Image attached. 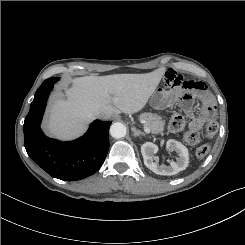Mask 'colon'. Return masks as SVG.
<instances>
[{"label":"colon","mask_w":245,"mask_h":245,"mask_svg":"<svg viewBox=\"0 0 245 245\" xmlns=\"http://www.w3.org/2000/svg\"><path fill=\"white\" fill-rule=\"evenodd\" d=\"M170 128L175 132H183L186 142L190 145H197L203 136L211 137L218 131V124L214 120H208L201 131L187 128L186 122L180 115H173L170 119ZM207 145H201L196 150V156L203 159L209 152Z\"/></svg>","instance_id":"5ec220e1"}]
</instances>
